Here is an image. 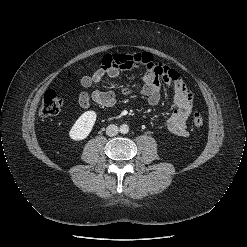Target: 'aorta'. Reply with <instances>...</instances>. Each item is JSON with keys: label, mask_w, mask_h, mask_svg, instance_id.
Listing matches in <instances>:
<instances>
[{"label": "aorta", "mask_w": 247, "mask_h": 247, "mask_svg": "<svg viewBox=\"0 0 247 247\" xmlns=\"http://www.w3.org/2000/svg\"><path fill=\"white\" fill-rule=\"evenodd\" d=\"M120 132H121L122 134H127V133L129 132V127H128V125H126V124L121 125V126H120Z\"/></svg>", "instance_id": "1"}]
</instances>
